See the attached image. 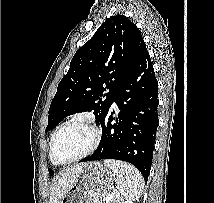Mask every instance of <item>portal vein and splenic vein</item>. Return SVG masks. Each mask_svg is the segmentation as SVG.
<instances>
[{
	"instance_id": "portal-vein-and-splenic-vein-1",
	"label": "portal vein and splenic vein",
	"mask_w": 214,
	"mask_h": 203,
	"mask_svg": "<svg viewBox=\"0 0 214 203\" xmlns=\"http://www.w3.org/2000/svg\"><path fill=\"white\" fill-rule=\"evenodd\" d=\"M114 198V195L113 194H109L107 197H106V200H113Z\"/></svg>"
}]
</instances>
